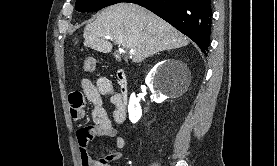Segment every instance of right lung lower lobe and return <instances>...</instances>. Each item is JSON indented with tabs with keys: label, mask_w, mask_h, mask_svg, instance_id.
Returning <instances> with one entry per match:
<instances>
[{
	"label": "right lung lower lobe",
	"mask_w": 277,
	"mask_h": 166,
	"mask_svg": "<svg viewBox=\"0 0 277 166\" xmlns=\"http://www.w3.org/2000/svg\"><path fill=\"white\" fill-rule=\"evenodd\" d=\"M136 3L155 13L208 52L212 8L211 0H122Z\"/></svg>",
	"instance_id": "98d812e1"
}]
</instances>
